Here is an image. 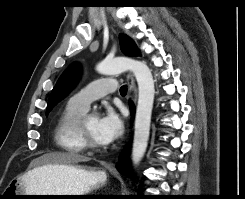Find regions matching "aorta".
I'll list each match as a JSON object with an SVG mask.
<instances>
[{
  "label": "aorta",
  "instance_id": "aorta-1",
  "mask_svg": "<svg viewBox=\"0 0 245 199\" xmlns=\"http://www.w3.org/2000/svg\"><path fill=\"white\" fill-rule=\"evenodd\" d=\"M103 75H115L125 71L133 72L138 83V104L135 116L132 163L136 165L143 158L149 140L155 87L151 70L146 63L128 57L105 59L97 65Z\"/></svg>",
  "mask_w": 245,
  "mask_h": 199
}]
</instances>
